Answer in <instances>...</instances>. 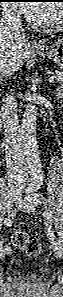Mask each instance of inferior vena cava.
<instances>
[{
	"instance_id": "602c4592",
	"label": "inferior vena cava",
	"mask_w": 63,
	"mask_h": 297,
	"mask_svg": "<svg viewBox=\"0 0 63 297\" xmlns=\"http://www.w3.org/2000/svg\"><path fill=\"white\" fill-rule=\"evenodd\" d=\"M0 31L2 35L8 33L16 39L25 38L20 17L10 12L4 13L1 19ZM3 102L1 116L4 127L7 167L19 181H23L27 169L22 150V139L17 116V102L13 93H7L3 98Z\"/></svg>"
}]
</instances>
